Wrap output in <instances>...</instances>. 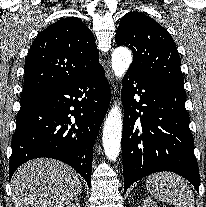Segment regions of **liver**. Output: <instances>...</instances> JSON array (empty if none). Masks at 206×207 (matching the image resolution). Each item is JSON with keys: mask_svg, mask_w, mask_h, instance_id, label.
I'll use <instances>...</instances> for the list:
<instances>
[{"mask_svg": "<svg viewBox=\"0 0 206 207\" xmlns=\"http://www.w3.org/2000/svg\"><path fill=\"white\" fill-rule=\"evenodd\" d=\"M79 175L63 162L39 158L20 166L12 177L15 207H64L81 193Z\"/></svg>", "mask_w": 206, "mask_h": 207, "instance_id": "1", "label": "liver"}]
</instances>
